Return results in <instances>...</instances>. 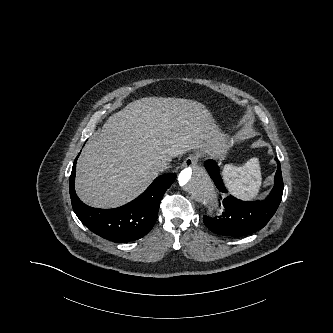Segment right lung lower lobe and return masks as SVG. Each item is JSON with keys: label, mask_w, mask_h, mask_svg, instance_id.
<instances>
[{"label": "right lung lower lobe", "mask_w": 333, "mask_h": 333, "mask_svg": "<svg viewBox=\"0 0 333 333\" xmlns=\"http://www.w3.org/2000/svg\"><path fill=\"white\" fill-rule=\"evenodd\" d=\"M76 161L69 180L72 207L80 221L97 235L116 242H129L142 238L156 222L161 199L176 179L175 174H165L136 199L114 209L92 208L84 204L74 190Z\"/></svg>", "instance_id": "right-lung-lower-lobe-1"}]
</instances>
